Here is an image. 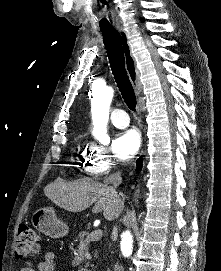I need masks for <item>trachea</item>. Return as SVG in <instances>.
<instances>
[{
  "instance_id": "trachea-1",
  "label": "trachea",
  "mask_w": 221,
  "mask_h": 271,
  "mask_svg": "<svg viewBox=\"0 0 221 271\" xmlns=\"http://www.w3.org/2000/svg\"><path fill=\"white\" fill-rule=\"evenodd\" d=\"M104 37V45L107 50L110 67L115 81L121 92L122 98L128 108L136 110V95L125 69V57L122 47V39L114 27L101 28Z\"/></svg>"
}]
</instances>
